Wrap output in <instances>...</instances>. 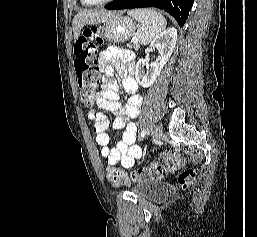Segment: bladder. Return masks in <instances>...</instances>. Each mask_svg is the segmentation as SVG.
<instances>
[{"label": "bladder", "mask_w": 257, "mask_h": 237, "mask_svg": "<svg viewBox=\"0 0 257 237\" xmlns=\"http://www.w3.org/2000/svg\"><path fill=\"white\" fill-rule=\"evenodd\" d=\"M132 191L143 198L155 199L163 194V187L157 180H143L136 182Z\"/></svg>", "instance_id": "bladder-1"}]
</instances>
